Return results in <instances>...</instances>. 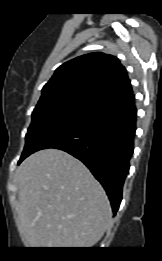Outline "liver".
<instances>
[{
	"label": "liver",
	"mask_w": 162,
	"mask_h": 261,
	"mask_svg": "<svg viewBox=\"0 0 162 261\" xmlns=\"http://www.w3.org/2000/svg\"><path fill=\"white\" fill-rule=\"evenodd\" d=\"M18 214L33 248L91 247L111 220L109 200L90 171L70 154L46 149L17 170Z\"/></svg>",
	"instance_id": "1"
}]
</instances>
